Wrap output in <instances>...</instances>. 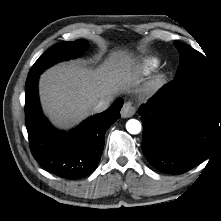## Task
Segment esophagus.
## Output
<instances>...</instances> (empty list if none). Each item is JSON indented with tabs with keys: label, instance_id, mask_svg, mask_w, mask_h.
I'll list each match as a JSON object with an SVG mask.
<instances>
[{
	"label": "esophagus",
	"instance_id": "esophagus-1",
	"mask_svg": "<svg viewBox=\"0 0 221 221\" xmlns=\"http://www.w3.org/2000/svg\"><path fill=\"white\" fill-rule=\"evenodd\" d=\"M136 112V104L134 102L128 101L123 105L121 110V116L123 118L132 117Z\"/></svg>",
	"mask_w": 221,
	"mask_h": 221
}]
</instances>
